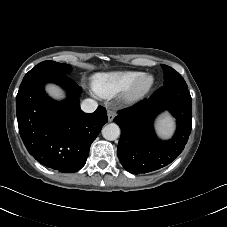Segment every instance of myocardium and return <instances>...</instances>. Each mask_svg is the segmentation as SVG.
<instances>
[{
  "label": "myocardium",
  "instance_id": "myocardium-1",
  "mask_svg": "<svg viewBox=\"0 0 227 227\" xmlns=\"http://www.w3.org/2000/svg\"><path fill=\"white\" fill-rule=\"evenodd\" d=\"M155 78L153 74H142L132 86L126 90L124 94V100L126 102H136L143 98L153 87Z\"/></svg>",
  "mask_w": 227,
  "mask_h": 227
}]
</instances>
